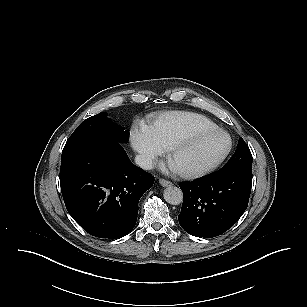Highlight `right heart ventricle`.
I'll return each mask as SVG.
<instances>
[{"instance_id": "1", "label": "right heart ventricle", "mask_w": 307, "mask_h": 307, "mask_svg": "<svg viewBox=\"0 0 307 307\" xmlns=\"http://www.w3.org/2000/svg\"><path fill=\"white\" fill-rule=\"evenodd\" d=\"M217 125L201 114L185 111H168L149 121L146 129L164 149L188 135L216 128Z\"/></svg>"}]
</instances>
